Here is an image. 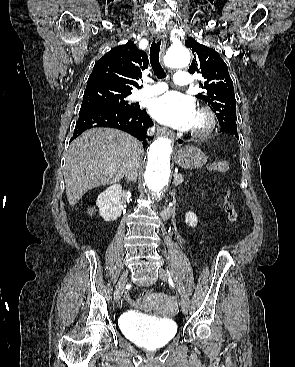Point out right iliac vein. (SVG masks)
Returning a JSON list of instances; mask_svg holds the SVG:
<instances>
[{"mask_svg": "<svg viewBox=\"0 0 295 367\" xmlns=\"http://www.w3.org/2000/svg\"><path fill=\"white\" fill-rule=\"evenodd\" d=\"M126 283H127V271L122 274L115 290V300L117 302H119L122 297Z\"/></svg>", "mask_w": 295, "mask_h": 367, "instance_id": "63e3f726", "label": "right iliac vein"}]
</instances>
